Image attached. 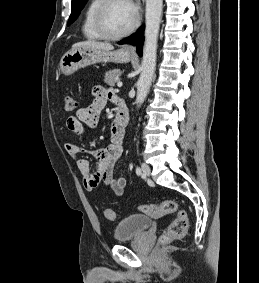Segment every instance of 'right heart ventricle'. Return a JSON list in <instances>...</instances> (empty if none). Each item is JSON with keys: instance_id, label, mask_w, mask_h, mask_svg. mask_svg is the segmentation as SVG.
<instances>
[{"instance_id": "1", "label": "right heart ventricle", "mask_w": 259, "mask_h": 283, "mask_svg": "<svg viewBox=\"0 0 259 283\" xmlns=\"http://www.w3.org/2000/svg\"><path fill=\"white\" fill-rule=\"evenodd\" d=\"M100 2L101 0H90V2L86 7L82 22V32L87 39H91V40L102 39V37L98 34L94 26L95 11Z\"/></svg>"}]
</instances>
